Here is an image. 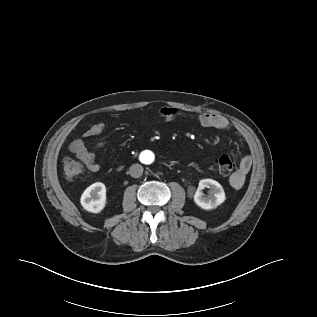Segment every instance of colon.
Wrapping results in <instances>:
<instances>
[{
	"label": "colon",
	"mask_w": 317,
	"mask_h": 317,
	"mask_svg": "<svg viewBox=\"0 0 317 317\" xmlns=\"http://www.w3.org/2000/svg\"><path fill=\"white\" fill-rule=\"evenodd\" d=\"M64 176L69 179L79 177L83 172V166L72 158H65L62 162ZM214 170L220 176L229 175L235 167L234 161L227 155H222L214 161Z\"/></svg>",
	"instance_id": "obj_1"
}]
</instances>
